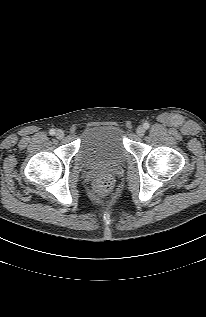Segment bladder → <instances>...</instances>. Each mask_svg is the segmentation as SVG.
<instances>
[{"instance_id":"1","label":"bladder","mask_w":206,"mask_h":317,"mask_svg":"<svg viewBox=\"0 0 206 317\" xmlns=\"http://www.w3.org/2000/svg\"><path fill=\"white\" fill-rule=\"evenodd\" d=\"M126 153L119 126L94 125L84 130L78 157L83 167H115L124 161Z\"/></svg>"}]
</instances>
